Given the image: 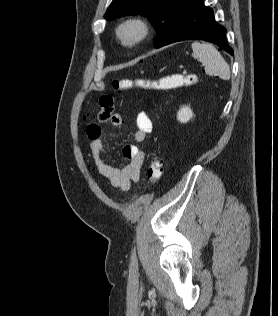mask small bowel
Returning <instances> with one entry per match:
<instances>
[{
    "mask_svg": "<svg viewBox=\"0 0 278 316\" xmlns=\"http://www.w3.org/2000/svg\"><path fill=\"white\" fill-rule=\"evenodd\" d=\"M110 123L114 127H119L122 124L120 114H112ZM137 130L134 134L136 142H143L152 132L153 124L149 115L141 111L136 118ZM87 136L91 141L90 149L100 175L109 180L113 187L120 190H128L132 182H136L140 178L141 169L145 159L143 150L135 145H126L122 149L123 156L129 161L123 168L119 169L105 162L101 155L105 151V144L101 136L99 127L89 126L87 128Z\"/></svg>",
    "mask_w": 278,
    "mask_h": 316,
    "instance_id": "1",
    "label": "small bowel"
}]
</instances>
